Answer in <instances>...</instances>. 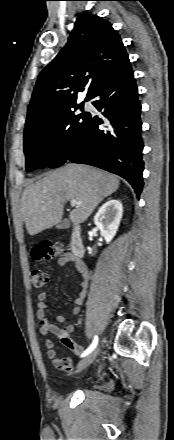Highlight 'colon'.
<instances>
[{
	"label": "colon",
	"mask_w": 174,
	"mask_h": 440,
	"mask_svg": "<svg viewBox=\"0 0 174 440\" xmlns=\"http://www.w3.org/2000/svg\"><path fill=\"white\" fill-rule=\"evenodd\" d=\"M65 248L51 242H43L32 249L31 255L35 260H49L58 255H64ZM31 282L36 288H41L48 282V274L41 269L31 271Z\"/></svg>",
	"instance_id": "obj_1"
}]
</instances>
